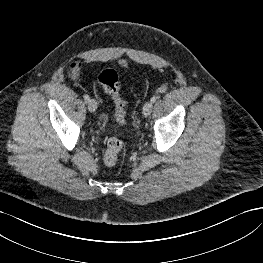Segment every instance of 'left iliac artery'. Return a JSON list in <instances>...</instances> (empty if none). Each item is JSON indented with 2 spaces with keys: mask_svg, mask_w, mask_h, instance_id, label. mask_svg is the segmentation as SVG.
Wrapping results in <instances>:
<instances>
[{
  "mask_svg": "<svg viewBox=\"0 0 263 263\" xmlns=\"http://www.w3.org/2000/svg\"><path fill=\"white\" fill-rule=\"evenodd\" d=\"M156 100H157V97H156V96H153V97L151 98V102H152V103L156 102Z\"/></svg>",
  "mask_w": 263,
  "mask_h": 263,
  "instance_id": "1",
  "label": "left iliac artery"
}]
</instances>
